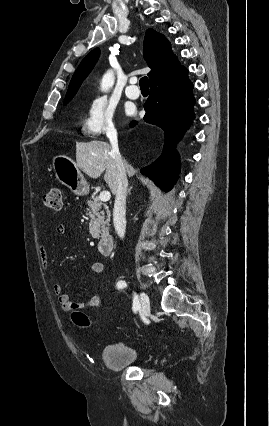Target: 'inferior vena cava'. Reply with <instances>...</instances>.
<instances>
[{"label": "inferior vena cava", "mask_w": 269, "mask_h": 426, "mask_svg": "<svg viewBox=\"0 0 269 426\" xmlns=\"http://www.w3.org/2000/svg\"><path fill=\"white\" fill-rule=\"evenodd\" d=\"M111 144V152L115 158L117 167V187L116 198L113 210V222L115 230L120 238H124L126 230V196L128 189L127 168L128 164L123 161L119 148L117 133L113 132L109 135Z\"/></svg>", "instance_id": "inferior-vena-cava-1"}]
</instances>
